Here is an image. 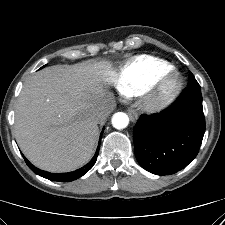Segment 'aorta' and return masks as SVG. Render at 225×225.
<instances>
[{"instance_id": "762f6f07", "label": "aorta", "mask_w": 225, "mask_h": 225, "mask_svg": "<svg viewBox=\"0 0 225 225\" xmlns=\"http://www.w3.org/2000/svg\"><path fill=\"white\" fill-rule=\"evenodd\" d=\"M112 125L116 129H124L129 124V117L126 113L117 112L112 117Z\"/></svg>"}]
</instances>
